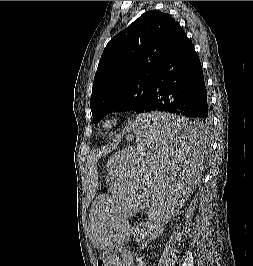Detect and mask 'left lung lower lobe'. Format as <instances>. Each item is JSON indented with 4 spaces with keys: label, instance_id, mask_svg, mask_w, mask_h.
I'll list each match as a JSON object with an SVG mask.
<instances>
[{
    "label": "left lung lower lobe",
    "instance_id": "obj_1",
    "mask_svg": "<svg viewBox=\"0 0 253 266\" xmlns=\"http://www.w3.org/2000/svg\"><path fill=\"white\" fill-rule=\"evenodd\" d=\"M169 112L191 118L156 125V133L178 140L197 139L210 126L207 91L199 57L179 24L162 52L153 77L146 113Z\"/></svg>",
    "mask_w": 253,
    "mask_h": 266
}]
</instances>
